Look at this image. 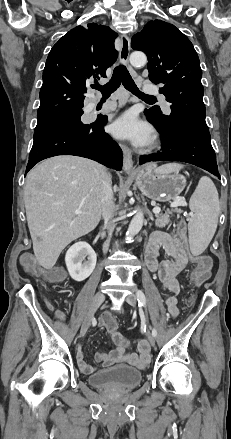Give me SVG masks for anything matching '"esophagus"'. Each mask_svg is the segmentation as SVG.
Segmentation results:
<instances>
[{
  "mask_svg": "<svg viewBox=\"0 0 231 439\" xmlns=\"http://www.w3.org/2000/svg\"><path fill=\"white\" fill-rule=\"evenodd\" d=\"M129 54H130V39L128 36L123 35L121 37V49L119 54V59L122 64L124 65L128 64ZM120 147L123 151V169L125 172L130 173L134 170L132 152L130 148L123 143H120Z\"/></svg>",
  "mask_w": 231,
  "mask_h": 439,
  "instance_id": "obj_1",
  "label": "esophagus"
}]
</instances>
